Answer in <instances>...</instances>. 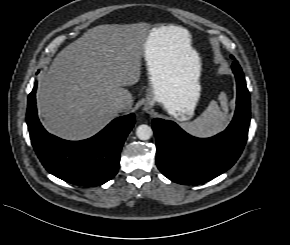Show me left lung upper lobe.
<instances>
[{
    "mask_svg": "<svg viewBox=\"0 0 290 245\" xmlns=\"http://www.w3.org/2000/svg\"><path fill=\"white\" fill-rule=\"evenodd\" d=\"M231 58L234 60V57L233 56H231ZM234 62H237V61H234Z\"/></svg>",
    "mask_w": 290,
    "mask_h": 245,
    "instance_id": "5c2ea615",
    "label": "left lung upper lobe"
}]
</instances>
